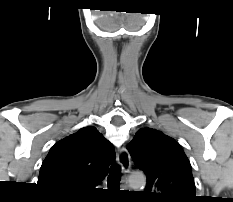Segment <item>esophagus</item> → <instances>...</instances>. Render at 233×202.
<instances>
[{
    "label": "esophagus",
    "mask_w": 233,
    "mask_h": 202,
    "mask_svg": "<svg viewBox=\"0 0 233 202\" xmlns=\"http://www.w3.org/2000/svg\"><path fill=\"white\" fill-rule=\"evenodd\" d=\"M117 161L124 173L129 172L131 168V158L129 152L125 148H120L117 154Z\"/></svg>",
    "instance_id": "34e87169"
}]
</instances>
